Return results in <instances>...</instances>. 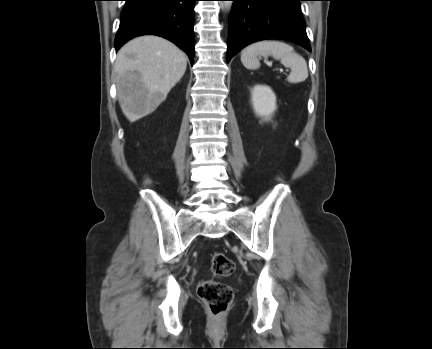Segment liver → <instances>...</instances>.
Listing matches in <instances>:
<instances>
[{
  "label": "liver",
  "mask_w": 432,
  "mask_h": 349,
  "mask_svg": "<svg viewBox=\"0 0 432 349\" xmlns=\"http://www.w3.org/2000/svg\"><path fill=\"white\" fill-rule=\"evenodd\" d=\"M186 67L185 53L166 39L148 35L126 43L114 67L123 113L134 122L154 112Z\"/></svg>",
  "instance_id": "liver-1"
}]
</instances>
